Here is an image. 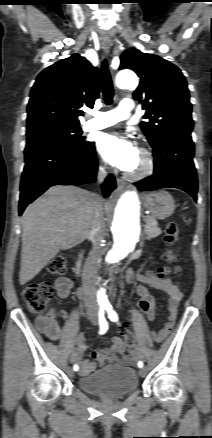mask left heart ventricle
<instances>
[{
    "instance_id": "obj_1",
    "label": "left heart ventricle",
    "mask_w": 212,
    "mask_h": 438,
    "mask_svg": "<svg viewBox=\"0 0 212 438\" xmlns=\"http://www.w3.org/2000/svg\"><path fill=\"white\" fill-rule=\"evenodd\" d=\"M141 165H142V162L138 157L131 169H137V168L141 167Z\"/></svg>"
}]
</instances>
